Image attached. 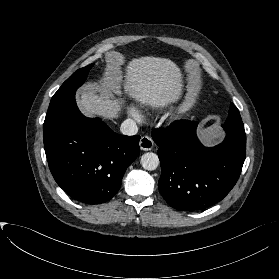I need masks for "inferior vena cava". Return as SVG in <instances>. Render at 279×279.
Returning a JSON list of instances; mask_svg holds the SVG:
<instances>
[{"mask_svg":"<svg viewBox=\"0 0 279 279\" xmlns=\"http://www.w3.org/2000/svg\"><path fill=\"white\" fill-rule=\"evenodd\" d=\"M120 131L122 132L123 135H135L138 132V127L137 124L134 120L132 119H126L120 127Z\"/></svg>","mask_w":279,"mask_h":279,"instance_id":"obj_1","label":"inferior vena cava"}]
</instances>
